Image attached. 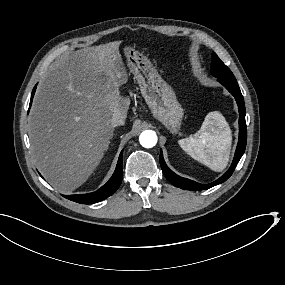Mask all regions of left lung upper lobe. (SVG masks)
<instances>
[{"label":"left lung upper lobe","instance_id":"left-lung-upper-lobe-1","mask_svg":"<svg viewBox=\"0 0 285 285\" xmlns=\"http://www.w3.org/2000/svg\"><path fill=\"white\" fill-rule=\"evenodd\" d=\"M211 74L220 80H232L235 79L230 69L219 59L216 53H212L211 58Z\"/></svg>","mask_w":285,"mask_h":285}]
</instances>
